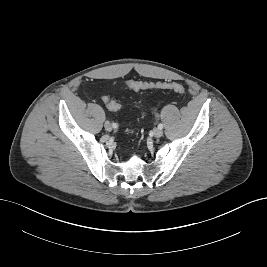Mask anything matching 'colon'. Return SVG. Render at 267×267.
<instances>
[{
    "label": "colon",
    "mask_w": 267,
    "mask_h": 267,
    "mask_svg": "<svg viewBox=\"0 0 267 267\" xmlns=\"http://www.w3.org/2000/svg\"><path fill=\"white\" fill-rule=\"evenodd\" d=\"M125 86L135 90V91H143V90H149V89H163V90H171L180 94L185 93V88L183 85L179 83H146L141 81H134L130 80L125 82ZM104 102L107 104V107L111 111H118L121 108V104L116 101H111L107 96H103Z\"/></svg>",
    "instance_id": "obj_1"
}]
</instances>
